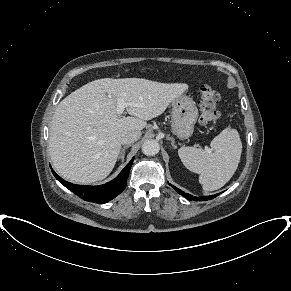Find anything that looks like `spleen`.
<instances>
[{"mask_svg": "<svg viewBox=\"0 0 291 291\" xmlns=\"http://www.w3.org/2000/svg\"><path fill=\"white\" fill-rule=\"evenodd\" d=\"M212 151L181 147L178 155L187 169L199 174L204 191L223 187L235 173L241 158L242 143L236 129L225 128L211 141Z\"/></svg>", "mask_w": 291, "mask_h": 291, "instance_id": "spleen-1", "label": "spleen"}]
</instances>
